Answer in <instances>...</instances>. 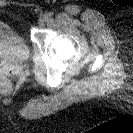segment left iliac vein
<instances>
[{
	"label": "left iliac vein",
	"mask_w": 133,
	"mask_h": 133,
	"mask_svg": "<svg viewBox=\"0 0 133 133\" xmlns=\"http://www.w3.org/2000/svg\"><path fill=\"white\" fill-rule=\"evenodd\" d=\"M47 20H48L47 17L44 15L38 19V24L44 25Z\"/></svg>",
	"instance_id": "obj_1"
}]
</instances>
